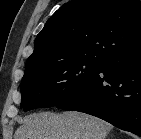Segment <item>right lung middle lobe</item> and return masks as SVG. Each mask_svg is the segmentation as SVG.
<instances>
[{"mask_svg":"<svg viewBox=\"0 0 141 139\" xmlns=\"http://www.w3.org/2000/svg\"><path fill=\"white\" fill-rule=\"evenodd\" d=\"M103 61L85 56L25 70L20 106L28 111L57 105L88 83Z\"/></svg>","mask_w":141,"mask_h":139,"instance_id":"dd1d6c3e","label":"right lung middle lobe"}]
</instances>
